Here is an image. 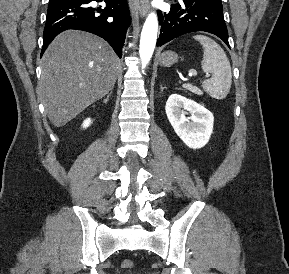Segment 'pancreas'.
I'll list each match as a JSON object with an SVG mask.
<instances>
[{
	"mask_svg": "<svg viewBox=\"0 0 289 274\" xmlns=\"http://www.w3.org/2000/svg\"><path fill=\"white\" fill-rule=\"evenodd\" d=\"M184 88L197 94V95H202L203 93L200 91V89H198L197 87L191 85V84H185Z\"/></svg>",
	"mask_w": 289,
	"mask_h": 274,
	"instance_id": "pancreas-1",
	"label": "pancreas"
}]
</instances>
